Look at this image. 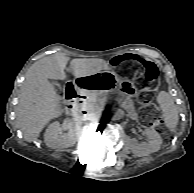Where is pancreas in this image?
<instances>
[{
	"label": "pancreas",
	"mask_w": 194,
	"mask_h": 193,
	"mask_svg": "<svg viewBox=\"0 0 194 193\" xmlns=\"http://www.w3.org/2000/svg\"><path fill=\"white\" fill-rule=\"evenodd\" d=\"M96 99L100 102L101 105H103L105 101L116 103L131 116H134L136 113L132 101L127 99L126 95H122L120 93H105L97 95Z\"/></svg>",
	"instance_id": "obj_1"
}]
</instances>
